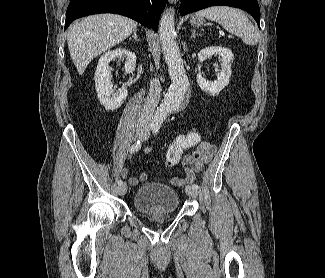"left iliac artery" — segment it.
Listing matches in <instances>:
<instances>
[{
    "mask_svg": "<svg viewBox=\"0 0 325 278\" xmlns=\"http://www.w3.org/2000/svg\"><path fill=\"white\" fill-rule=\"evenodd\" d=\"M159 129H160V125L156 124V125H154L153 128H152V132H153L154 134H157V133L159 132ZM192 188L198 190V189H199V186H198L197 184H193V185H192Z\"/></svg>",
    "mask_w": 325,
    "mask_h": 278,
    "instance_id": "left-iliac-artery-1",
    "label": "left iliac artery"
}]
</instances>
